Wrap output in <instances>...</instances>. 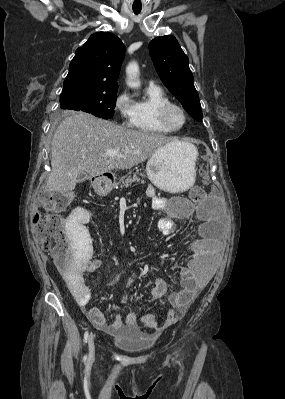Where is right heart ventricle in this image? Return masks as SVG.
<instances>
[{"label":"right heart ventricle","instance_id":"e07e8e85","mask_svg":"<svg viewBox=\"0 0 285 399\" xmlns=\"http://www.w3.org/2000/svg\"><path fill=\"white\" fill-rule=\"evenodd\" d=\"M147 99L134 103L135 121L133 127L141 132L152 134H169L173 130L164 127L158 118V109L170 102L166 92L159 86H149Z\"/></svg>","mask_w":285,"mask_h":399}]
</instances>
